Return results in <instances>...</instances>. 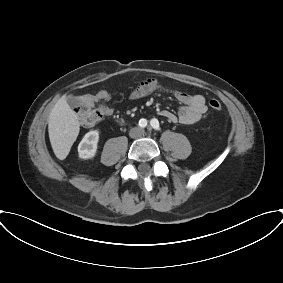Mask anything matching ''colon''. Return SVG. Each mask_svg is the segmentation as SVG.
<instances>
[{
    "label": "colon",
    "instance_id": "obj_1",
    "mask_svg": "<svg viewBox=\"0 0 283 283\" xmlns=\"http://www.w3.org/2000/svg\"><path fill=\"white\" fill-rule=\"evenodd\" d=\"M208 105L213 111H220L222 109L221 102L216 98H211L208 101ZM101 114L99 111L83 106L78 110V119L84 126H92L99 121Z\"/></svg>",
    "mask_w": 283,
    "mask_h": 283
}]
</instances>
